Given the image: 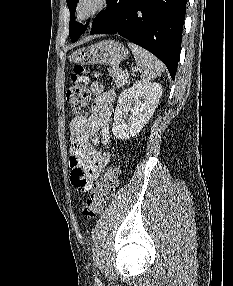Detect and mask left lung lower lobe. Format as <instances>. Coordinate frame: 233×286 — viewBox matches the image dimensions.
<instances>
[{
  "instance_id": "obj_1",
  "label": "left lung lower lobe",
  "mask_w": 233,
  "mask_h": 286,
  "mask_svg": "<svg viewBox=\"0 0 233 286\" xmlns=\"http://www.w3.org/2000/svg\"><path fill=\"white\" fill-rule=\"evenodd\" d=\"M187 0H107V8L89 34H115L147 49L168 68L174 80L180 57Z\"/></svg>"
}]
</instances>
